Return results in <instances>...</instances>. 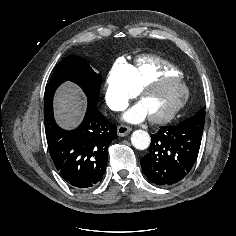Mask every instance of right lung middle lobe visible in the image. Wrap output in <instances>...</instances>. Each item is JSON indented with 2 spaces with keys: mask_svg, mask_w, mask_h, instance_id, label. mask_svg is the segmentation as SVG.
<instances>
[{
  "mask_svg": "<svg viewBox=\"0 0 236 236\" xmlns=\"http://www.w3.org/2000/svg\"><path fill=\"white\" fill-rule=\"evenodd\" d=\"M101 75L92 70L87 61L79 56H68L56 66L55 72L46 85L44 97V110L52 109V101L55 90L65 81L77 84L88 99V106H96Z\"/></svg>",
  "mask_w": 236,
  "mask_h": 236,
  "instance_id": "right-lung-middle-lobe-1",
  "label": "right lung middle lobe"
}]
</instances>
